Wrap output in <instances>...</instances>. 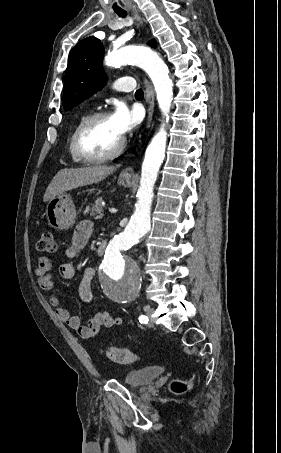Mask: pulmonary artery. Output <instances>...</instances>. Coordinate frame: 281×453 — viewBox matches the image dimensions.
<instances>
[{
  "instance_id": "1",
  "label": "pulmonary artery",
  "mask_w": 281,
  "mask_h": 453,
  "mask_svg": "<svg viewBox=\"0 0 281 453\" xmlns=\"http://www.w3.org/2000/svg\"><path fill=\"white\" fill-rule=\"evenodd\" d=\"M132 79L133 78L129 77V76L119 78V79L114 81V86L116 87L117 90L128 91L129 88L125 85L124 82L127 81V80H132Z\"/></svg>"
}]
</instances>
